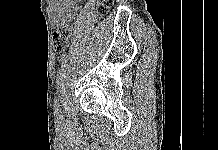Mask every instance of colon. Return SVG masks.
<instances>
[{"mask_svg": "<svg viewBox=\"0 0 218 150\" xmlns=\"http://www.w3.org/2000/svg\"><path fill=\"white\" fill-rule=\"evenodd\" d=\"M114 0H98L96 4V12L99 15H105L109 12ZM72 26L70 24L64 23L56 30L53 36L54 50L57 53L63 52L71 38Z\"/></svg>", "mask_w": 218, "mask_h": 150, "instance_id": "colon-1", "label": "colon"}]
</instances>
